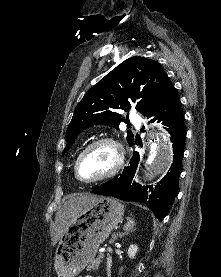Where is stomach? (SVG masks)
Wrapping results in <instances>:
<instances>
[{
  "label": "stomach",
  "mask_w": 221,
  "mask_h": 277,
  "mask_svg": "<svg viewBox=\"0 0 221 277\" xmlns=\"http://www.w3.org/2000/svg\"><path fill=\"white\" fill-rule=\"evenodd\" d=\"M123 213L118 201L105 197L80 210L59 240L54 260L58 276L76 277L88 266Z\"/></svg>",
  "instance_id": "1"
}]
</instances>
